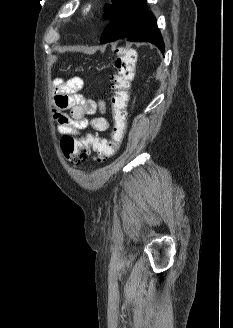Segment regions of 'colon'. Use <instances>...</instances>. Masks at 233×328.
<instances>
[{
	"label": "colon",
	"instance_id": "obj_1",
	"mask_svg": "<svg viewBox=\"0 0 233 328\" xmlns=\"http://www.w3.org/2000/svg\"><path fill=\"white\" fill-rule=\"evenodd\" d=\"M116 55V72L111 76L113 96L111 98L112 131L110 140L93 135L83 137L64 135L60 141V148L65 159L74 167L83 164L91 151L99 161L111 158L119 149L125 136L136 56L129 49H121L117 51Z\"/></svg>",
	"mask_w": 233,
	"mask_h": 328
}]
</instances>
